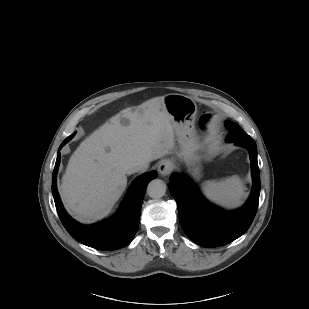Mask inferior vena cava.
Instances as JSON below:
<instances>
[{
  "mask_svg": "<svg viewBox=\"0 0 309 309\" xmlns=\"http://www.w3.org/2000/svg\"><path fill=\"white\" fill-rule=\"evenodd\" d=\"M148 169V164H134L130 169L128 170V173H135V172H141Z\"/></svg>",
  "mask_w": 309,
  "mask_h": 309,
  "instance_id": "obj_1",
  "label": "inferior vena cava"
}]
</instances>
